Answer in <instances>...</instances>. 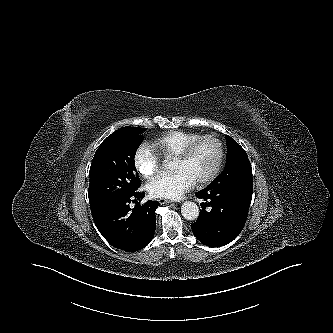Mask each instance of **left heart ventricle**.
Here are the masks:
<instances>
[{"label": "left heart ventricle", "instance_id": "obj_1", "mask_svg": "<svg viewBox=\"0 0 333 333\" xmlns=\"http://www.w3.org/2000/svg\"><path fill=\"white\" fill-rule=\"evenodd\" d=\"M218 158V147L213 140L200 142L191 156L184 161H173V170L187 172L195 182L206 178L213 170Z\"/></svg>", "mask_w": 333, "mask_h": 333}]
</instances>
